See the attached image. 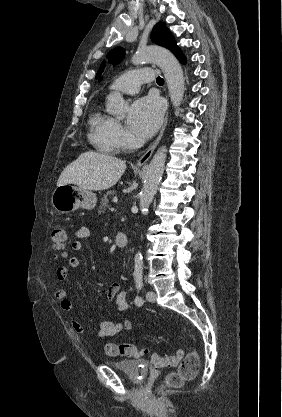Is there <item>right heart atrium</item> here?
Returning a JSON list of instances; mask_svg holds the SVG:
<instances>
[{
    "label": "right heart atrium",
    "instance_id": "1",
    "mask_svg": "<svg viewBox=\"0 0 282 417\" xmlns=\"http://www.w3.org/2000/svg\"><path fill=\"white\" fill-rule=\"evenodd\" d=\"M117 138H118L119 146H127V144L130 141L129 135L124 130V128L119 124L117 126Z\"/></svg>",
    "mask_w": 282,
    "mask_h": 417
}]
</instances>
